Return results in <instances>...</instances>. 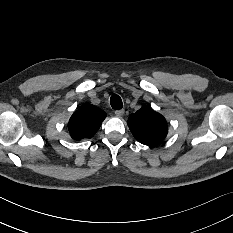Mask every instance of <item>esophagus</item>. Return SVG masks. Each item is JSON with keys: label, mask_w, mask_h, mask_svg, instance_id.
<instances>
[{"label": "esophagus", "mask_w": 233, "mask_h": 233, "mask_svg": "<svg viewBox=\"0 0 233 233\" xmlns=\"http://www.w3.org/2000/svg\"><path fill=\"white\" fill-rule=\"evenodd\" d=\"M115 115L118 116V117H121L122 115H124V110L123 109L116 110Z\"/></svg>", "instance_id": "obj_1"}]
</instances>
